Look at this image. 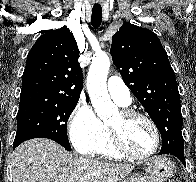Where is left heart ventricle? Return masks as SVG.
Wrapping results in <instances>:
<instances>
[{
	"label": "left heart ventricle",
	"instance_id": "b2bd125f",
	"mask_svg": "<svg viewBox=\"0 0 196 182\" xmlns=\"http://www.w3.org/2000/svg\"><path fill=\"white\" fill-rule=\"evenodd\" d=\"M108 125L120 133L124 145L133 153L146 154L154 147L153 130L144 119L125 120L117 113Z\"/></svg>",
	"mask_w": 196,
	"mask_h": 182
}]
</instances>
